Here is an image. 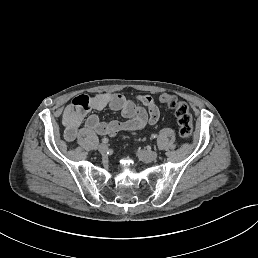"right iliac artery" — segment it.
<instances>
[{
    "label": "right iliac artery",
    "mask_w": 258,
    "mask_h": 258,
    "mask_svg": "<svg viewBox=\"0 0 258 258\" xmlns=\"http://www.w3.org/2000/svg\"><path fill=\"white\" fill-rule=\"evenodd\" d=\"M108 141H109L108 138H103V139H102V142H103V143H108Z\"/></svg>",
    "instance_id": "right-iliac-artery-1"
}]
</instances>
